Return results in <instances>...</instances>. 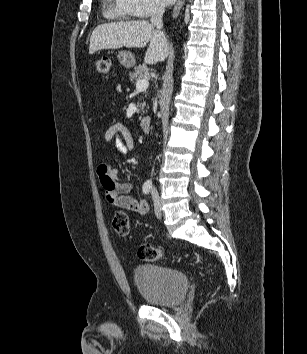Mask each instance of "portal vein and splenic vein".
Listing matches in <instances>:
<instances>
[{
    "instance_id": "18ae733b",
    "label": "portal vein and splenic vein",
    "mask_w": 307,
    "mask_h": 354,
    "mask_svg": "<svg viewBox=\"0 0 307 354\" xmlns=\"http://www.w3.org/2000/svg\"><path fill=\"white\" fill-rule=\"evenodd\" d=\"M148 87H149L148 79H142L136 82V91L138 92L145 91Z\"/></svg>"
}]
</instances>
